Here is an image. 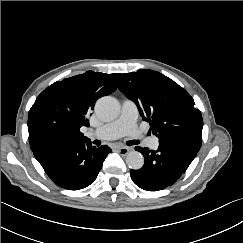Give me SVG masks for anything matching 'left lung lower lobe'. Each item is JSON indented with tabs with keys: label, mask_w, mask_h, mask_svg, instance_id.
Wrapping results in <instances>:
<instances>
[{
	"label": "left lung lower lobe",
	"mask_w": 243,
	"mask_h": 243,
	"mask_svg": "<svg viewBox=\"0 0 243 243\" xmlns=\"http://www.w3.org/2000/svg\"><path fill=\"white\" fill-rule=\"evenodd\" d=\"M202 138L185 136L160 143L157 151L136 147L145 158L139 170H131L132 181L141 189L159 191L174 184L193 161Z\"/></svg>",
	"instance_id": "0a47b994"
}]
</instances>
